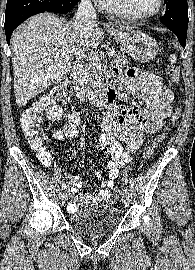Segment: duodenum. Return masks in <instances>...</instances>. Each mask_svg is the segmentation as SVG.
<instances>
[{"instance_id":"1","label":"duodenum","mask_w":195,"mask_h":270,"mask_svg":"<svg viewBox=\"0 0 195 270\" xmlns=\"http://www.w3.org/2000/svg\"><path fill=\"white\" fill-rule=\"evenodd\" d=\"M81 66H77L71 74V82L77 97L85 101H96L99 105L112 107L116 103V91L113 86H108L100 94L88 88L81 79Z\"/></svg>"}]
</instances>
